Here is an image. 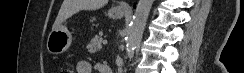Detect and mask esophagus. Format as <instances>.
<instances>
[{"mask_svg":"<svg viewBox=\"0 0 244 73\" xmlns=\"http://www.w3.org/2000/svg\"><path fill=\"white\" fill-rule=\"evenodd\" d=\"M119 9H122V10H128L129 9V4L126 3V2H123L119 5Z\"/></svg>","mask_w":244,"mask_h":73,"instance_id":"1","label":"esophagus"}]
</instances>
